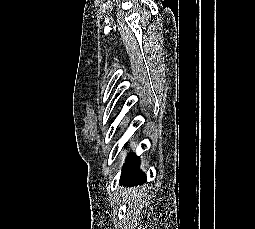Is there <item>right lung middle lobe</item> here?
<instances>
[{"instance_id":"right-lung-middle-lobe-1","label":"right lung middle lobe","mask_w":255,"mask_h":229,"mask_svg":"<svg viewBox=\"0 0 255 229\" xmlns=\"http://www.w3.org/2000/svg\"><path fill=\"white\" fill-rule=\"evenodd\" d=\"M139 163V157H137L135 154H130L127 158V161L123 167V172H128V169L130 167L131 164H138Z\"/></svg>"}]
</instances>
